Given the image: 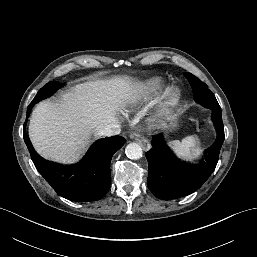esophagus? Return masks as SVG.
<instances>
[{"label":"esophagus","instance_id":"34e87169","mask_svg":"<svg viewBox=\"0 0 257 257\" xmlns=\"http://www.w3.org/2000/svg\"><path fill=\"white\" fill-rule=\"evenodd\" d=\"M130 137L134 139L142 147L143 150L147 151L150 149L149 141L142 135L138 133H133L130 135Z\"/></svg>","mask_w":257,"mask_h":257}]
</instances>
